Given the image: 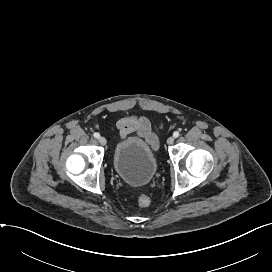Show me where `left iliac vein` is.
<instances>
[{
	"mask_svg": "<svg viewBox=\"0 0 272 272\" xmlns=\"http://www.w3.org/2000/svg\"><path fill=\"white\" fill-rule=\"evenodd\" d=\"M174 137H169L168 139H167V143L169 144V145H171V144H173L174 143Z\"/></svg>",
	"mask_w": 272,
	"mask_h": 272,
	"instance_id": "obj_1",
	"label": "left iliac vein"
}]
</instances>
